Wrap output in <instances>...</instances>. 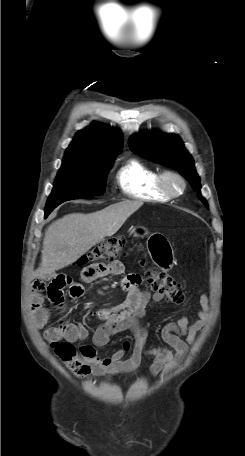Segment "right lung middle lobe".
<instances>
[{"label":"right lung middle lobe","mask_w":245,"mask_h":456,"mask_svg":"<svg viewBox=\"0 0 245 456\" xmlns=\"http://www.w3.org/2000/svg\"><path fill=\"white\" fill-rule=\"evenodd\" d=\"M115 157L97 162H68L60 168L45 206V214L73 199L102 195L106 176Z\"/></svg>","instance_id":"1"}]
</instances>
